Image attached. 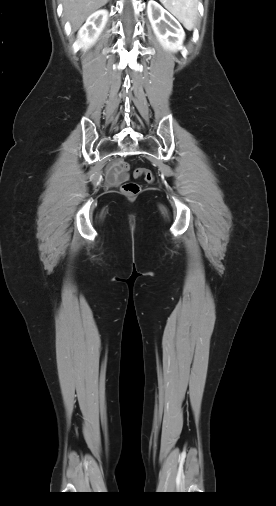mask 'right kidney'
Here are the masks:
<instances>
[{
    "mask_svg": "<svg viewBox=\"0 0 276 506\" xmlns=\"http://www.w3.org/2000/svg\"><path fill=\"white\" fill-rule=\"evenodd\" d=\"M108 19L107 10H98L91 14L78 32L77 41L81 48L88 49L100 36Z\"/></svg>",
    "mask_w": 276,
    "mask_h": 506,
    "instance_id": "right-kidney-1",
    "label": "right kidney"
}]
</instances>
